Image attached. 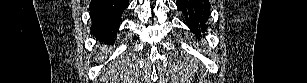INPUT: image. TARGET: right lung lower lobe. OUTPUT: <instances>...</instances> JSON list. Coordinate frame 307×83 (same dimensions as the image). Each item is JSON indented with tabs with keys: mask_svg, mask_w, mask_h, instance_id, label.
<instances>
[{
	"mask_svg": "<svg viewBox=\"0 0 307 83\" xmlns=\"http://www.w3.org/2000/svg\"><path fill=\"white\" fill-rule=\"evenodd\" d=\"M128 5L129 0H91V33L100 40H113Z\"/></svg>",
	"mask_w": 307,
	"mask_h": 83,
	"instance_id": "98d812e1",
	"label": "right lung lower lobe"
}]
</instances>
